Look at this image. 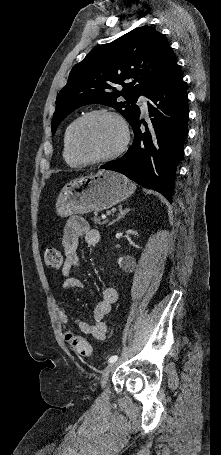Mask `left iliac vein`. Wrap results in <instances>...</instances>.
Segmentation results:
<instances>
[{
	"label": "left iliac vein",
	"mask_w": 221,
	"mask_h": 455,
	"mask_svg": "<svg viewBox=\"0 0 221 455\" xmlns=\"http://www.w3.org/2000/svg\"><path fill=\"white\" fill-rule=\"evenodd\" d=\"M115 365H116V363H114V362L109 363L102 371V375H101V379H100V385L102 388H104L106 386L109 375H110L111 371L113 370V368L115 367Z\"/></svg>",
	"instance_id": "1"
}]
</instances>
